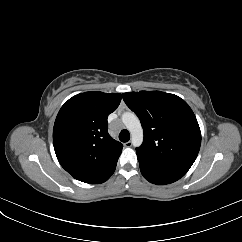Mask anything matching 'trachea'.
Returning a JSON list of instances; mask_svg holds the SVG:
<instances>
[{
	"label": "trachea",
	"mask_w": 242,
	"mask_h": 242,
	"mask_svg": "<svg viewBox=\"0 0 242 242\" xmlns=\"http://www.w3.org/2000/svg\"><path fill=\"white\" fill-rule=\"evenodd\" d=\"M129 139H130V134H129L128 130H126V129L122 130L119 134V140L121 142H128Z\"/></svg>",
	"instance_id": "obj_1"
}]
</instances>
